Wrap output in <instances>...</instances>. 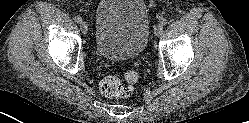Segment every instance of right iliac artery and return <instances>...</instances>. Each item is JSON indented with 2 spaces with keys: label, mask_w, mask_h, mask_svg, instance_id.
Listing matches in <instances>:
<instances>
[{
  "label": "right iliac artery",
  "mask_w": 249,
  "mask_h": 123,
  "mask_svg": "<svg viewBox=\"0 0 249 123\" xmlns=\"http://www.w3.org/2000/svg\"><path fill=\"white\" fill-rule=\"evenodd\" d=\"M74 20L77 23H81L82 22V17L81 16H76Z\"/></svg>",
  "instance_id": "1"
}]
</instances>
